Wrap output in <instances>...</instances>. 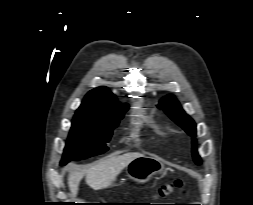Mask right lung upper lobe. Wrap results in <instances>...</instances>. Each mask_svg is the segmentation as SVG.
<instances>
[{
	"label": "right lung upper lobe",
	"mask_w": 253,
	"mask_h": 205,
	"mask_svg": "<svg viewBox=\"0 0 253 205\" xmlns=\"http://www.w3.org/2000/svg\"><path fill=\"white\" fill-rule=\"evenodd\" d=\"M116 105V97L106 87H98L87 93L77 113L105 116Z\"/></svg>",
	"instance_id": "cb5924a9"
}]
</instances>
